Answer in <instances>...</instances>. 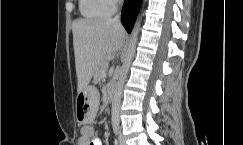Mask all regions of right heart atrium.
Wrapping results in <instances>:
<instances>
[{"label":"right heart atrium","mask_w":243,"mask_h":145,"mask_svg":"<svg viewBox=\"0 0 243 145\" xmlns=\"http://www.w3.org/2000/svg\"><path fill=\"white\" fill-rule=\"evenodd\" d=\"M107 3L114 8L121 0H106Z\"/></svg>","instance_id":"right-heart-atrium-1"}]
</instances>
